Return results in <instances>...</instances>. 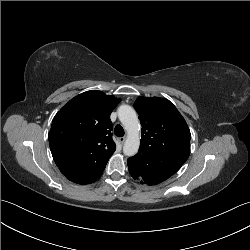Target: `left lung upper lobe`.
<instances>
[{
    "label": "left lung upper lobe",
    "mask_w": 250,
    "mask_h": 250,
    "mask_svg": "<svg viewBox=\"0 0 250 250\" xmlns=\"http://www.w3.org/2000/svg\"><path fill=\"white\" fill-rule=\"evenodd\" d=\"M134 107L142 126L138 153L178 171L190 154L191 134L182 115L165 98L138 97Z\"/></svg>",
    "instance_id": "5c2ea615"
}]
</instances>
